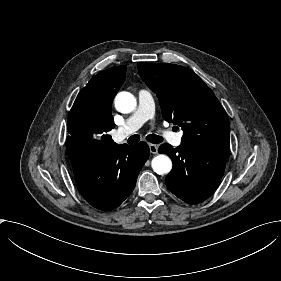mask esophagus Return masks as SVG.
<instances>
[{
	"mask_svg": "<svg viewBox=\"0 0 281 281\" xmlns=\"http://www.w3.org/2000/svg\"><path fill=\"white\" fill-rule=\"evenodd\" d=\"M148 146H149V149H150L151 153L157 154V152H158V146L157 145L149 143Z\"/></svg>",
	"mask_w": 281,
	"mask_h": 281,
	"instance_id": "esophagus-1",
	"label": "esophagus"
}]
</instances>
